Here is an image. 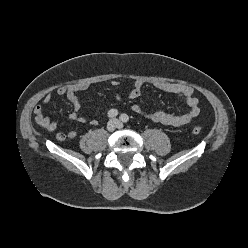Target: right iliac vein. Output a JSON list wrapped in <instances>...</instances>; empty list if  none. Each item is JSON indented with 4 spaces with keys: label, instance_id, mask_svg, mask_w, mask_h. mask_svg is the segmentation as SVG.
Instances as JSON below:
<instances>
[{
    "label": "right iliac vein",
    "instance_id": "right-iliac-vein-1",
    "mask_svg": "<svg viewBox=\"0 0 248 248\" xmlns=\"http://www.w3.org/2000/svg\"><path fill=\"white\" fill-rule=\"evenodd\" d=\"M117 127V122L116 121H109L107 124V130L108 131H114L115 128Z\"/></svg>",
    "mask_w": 248,
    "mask_h": 248
}]
</instances>
